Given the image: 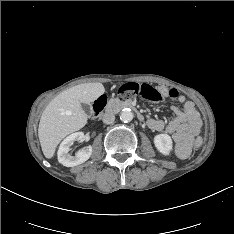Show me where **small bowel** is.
Instances as JSON below:
<instances>
[{
	"mask_svg": "<svg viewBox=\"0 0 234 234\" xmlns=\"http://www.w3.org/2000/svg\"><path fill=\"white\" fill-rule=\"evenodd\" d=\"M162 97L157 101H162L165 97L176 100L182 104V108L172 106L175 117L166 122L161 119H148L147 125L150 129L156 131H165L172 135L175 143V151L179 157H186L195 137L199 134L201 119L195 105L187 101L183 95H180L176 89L160 90Z\"/></svg>",
	"mask_w": 234,
	"mask_h": 234,
	"instance_id": "c3829d8e",
	"label": "small bowel"
}]
</instances>
